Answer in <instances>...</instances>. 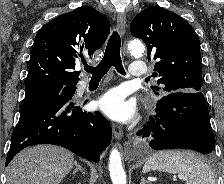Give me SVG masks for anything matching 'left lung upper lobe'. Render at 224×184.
Instances as JSON below:
<instances>
[{
    "label": "left lung upper lobe",
    "mask_w": 224,
    "mask_h": 184,
    "mask_svg": "<svg viewBox=\"0 0 224 184\" xmlns=\"http://www.w3.org/2000/svg\"><path fill=\"white\" fill-rule=\"evenodd\" d=\"M130 31L145 42L147 58L157 60L153 76L159 78L161 87L153 89L163 95L201 91L199 38L188 22L167 9L151 6L132 20Z\"/></svg>",
    "instance_id": "obj_1"
}]
</instances>
